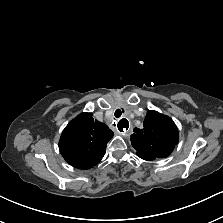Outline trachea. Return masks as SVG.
<instances>
[{"label":"trachea","instance_id":"obj_1","mask_svg":"<svg viewBox=\"0 0 223 223\" xmlns=\"http://www.w3.org/2000/svg\"><path fill=\"white\" fill-rule=\"evenodd\" d=\"M124 112V111H123ZM121 114H122V112H121V110L120 109H117L116 111H115V117L116 118H119L120 116H121Z\"/></svg>","mask_w":223,"mask_h":223}]
</instances>
